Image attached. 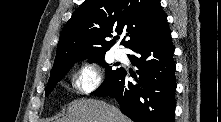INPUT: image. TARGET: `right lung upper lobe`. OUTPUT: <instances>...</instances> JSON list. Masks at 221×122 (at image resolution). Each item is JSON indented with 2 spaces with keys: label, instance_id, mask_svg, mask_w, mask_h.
<instances>
[{
  "label": "right lung upper lobe",
  "instance_id": "obj_1",
  "mask_svg": "<svg viewBox=\"0 0 221 122\" xmlns=\"http://www.w3.org/2000/svg\"><path fill=\"white\" fill-rule=\"evenodd\" d=\"M167 16L159 0H86L64 26L51 74L77 61L104 56L115 44L112 34L126 33L132 49L155 33Z\"/></svg>",
  "mask_w": 221,
  "mask_h": 122
}]
</instances>
